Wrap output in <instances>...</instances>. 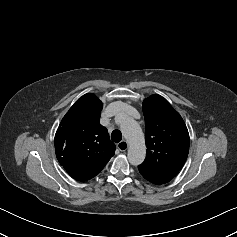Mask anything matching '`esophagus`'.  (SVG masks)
Masks as SVG:
<instances>
[{"instance_id": "34e87169", "label": "esophagus", "mask_w": 237, "mask_h": 237, "mask_svg": "<svg viewBox=\"0 0 237 237\" xmlns=\"http://www.w3.org/2000/svg\"><path fill=\"white\" fill-rule=\"evenodd\" d=\"M117 148L122 151V152H125L127 149H128V143L127 141L123 140L121 142H119L117 144Z\"/></svg>"}]
</instances>
